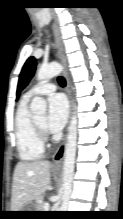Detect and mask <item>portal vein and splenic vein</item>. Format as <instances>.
<instances>
[{"label":"portal vein and splenic vein","instance_id":"portal-vein-and-splenic-vein-1","mask_svg":"<svg viewBox=\"0 0 123 219\" xmlns=\"http://www.w3.org/2000/svg\"><path fill=\"white\" fill-rule=\"evenodd\" d=\"M49 207H50L49 203H48V202H45V203H44V206H43L44 210H45V211H48Z\"/></svg>","mask_w":123,"mask_h":219}]
</instances>
